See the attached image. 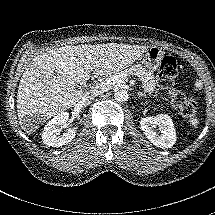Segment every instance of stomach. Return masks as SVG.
<instances>
[{
    "label": "stomach",
    "instance_id": "stomach-1",
    "mask_svg": "<svg viewBox=\"0 0 215 215\" xmlns=\"http://www.w3.org/2000/svg\"><path fill=\"white\" fill-rule=\"evenodd\" d=\"M165 57V52L161 47L150 46L141 56L142 64L150 71H156Z\"/></svg>",
    "mask_w": 215,
    "mask_h": 215
}]
</instances>
